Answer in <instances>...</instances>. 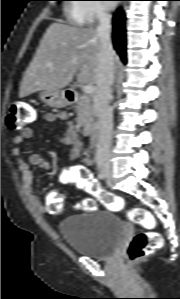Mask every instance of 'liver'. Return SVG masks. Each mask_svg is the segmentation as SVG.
<instances>
[{"label":"liver","mask_w":180,"mask_h":299,"mask_svg":"<svg viewBox=\"0 0 180 299\" xmlns=\"http://www.w3.org/2000/svg\"><path fill=\"white\" fill-rule=\"evenodd\" d=\"M101 39L93 27L52 23L43 35L20 86L19 96L61 90L74 75L82 85L95 86ZM114 54V61L116 60Z\"/></svg>","instance_id":"6515ba94"}]
</instances>
